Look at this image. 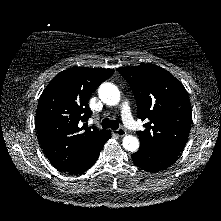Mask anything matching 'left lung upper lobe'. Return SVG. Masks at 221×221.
<instances>
[{
  "instance_id": "left-lung-upper-lobe-1",
  "label": "left lung upper lobe",
  "mask_w": 221,
  "mask_h": 221,
  "mask_svg": "<svg viewBox=\"0 0 221 221\" xmlns=\"http://www.w3.org/2000/svg\"><path fill=\"white\" fill-rule=\"evenodd\" d=\"M117 71L134 92L138 117L147 122L146 129L137 132L140 149L178 156L192 124L191 105L184 86L154 64L120 67Z\"/></svg>"
}]
</instances>
